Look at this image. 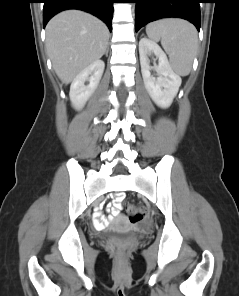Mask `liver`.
<instances>
[{
	"label": "liver",
	"mask_w": 239,
	"mask_h": 296,
	"mask_svg": "<svg viewBox=\"0 0 239 296\" xmlns=\"http://www.w3.org/2000/svg\"><path fill=\"white\" fill-rule=\"evenodd\" d=\"M108 40L107 26L79 10L61 12L46 26L47 53L56 74L66 84L103 56Z\"/></svg>",
	"instance_id": "1"
}]
</instances>
